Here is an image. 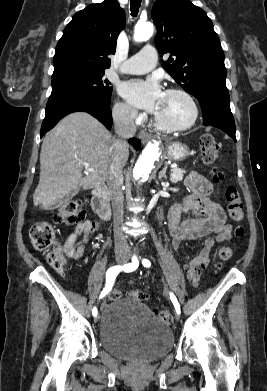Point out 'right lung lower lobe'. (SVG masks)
I'll return each mask as SVG.
<instances>
[{"label": "right lung lower lobe", "instance_id": "right-lung-lower-lobe-1", "mask_svg": "<svg viewBox=\"0 0 267 391\" xmlns=\"http://www.w3.org/2000/svg\"><path fill=\"white\" fill-rule=\"evenodd\" d=\"M77 111H84L91 114L104 124L108 130L112 127L113 120L110 102L84 96H65L53 101H48L45 118L41 126V137L52 129L64 116ZM129 143L132 144L135 149H139L141 146L140 140L135 138L130 139Z\"/></svg>", "mask_w": 267, "mask_h": 391}]
</instances>
